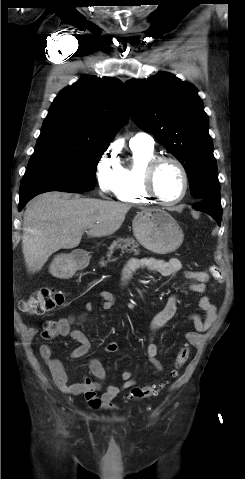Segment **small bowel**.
I'll list each match as a JSON object with an SVG mask.
<instances>
[{"label": "small bowel", "mask_w": 245, "mask_h": 479, "mask_svg": "<svg viewBox=\"0 0 245 479\" xmlns=\"http://www.w3.org/2000/svg\"><path fill=\"white\" fill-rule=\"evenodd\" d=\"M141 269H147L156 272L165 278L173 279L182 269V265L177 258L166 260L155 257H131L122 270V285H129L134 274ZM185 274L186 278L192 281L189 284L188 289L192 292L203 294L206 290V283L209 279L208 274L204 271H187ZM100 297L103 300L102 308L104 310H111L115 307L117 302L115 294L103 291L100 293ZM177 300L176 295L170 296L164 308L155 315L151 322L147 356L151 364L159 372L163 370V365L157 359L159 345L154 341V337L158 330L164 327L165 324L175 316L177 311ZM199 307L204 313V317L202 318L199 315L194 314L191 316V319L194 323L196 332H206L216 321V307L205 295L200 297ZM92 310L93 305L91 303L86 304L85 311L90 312ZM57 323L59 334L61 336H69L78 343V346L71 351L70 357L72 359H79L85 356L90 350V341L86 334L80 329L71 328V318H61ZM118 349L119 345L117 342L112 341L105 344V350L107 352L115 353ZM39 352L48 366L58 388L65 394L83 396L87 400L89 406L93 409L111 407L114 399L120 393L135 385L132 372L124 371L121 374L123 381L120 386H110L99 395V392L102 389V383L106 377V371L99 360L92 359L88 364L89 371L96 380H92L90 377H85L80 383H70L62 362L53 357L51 347L48 344H43L40 346Z\"/></svg>", "instance_id": "c3829d8e"}]
</instances>
